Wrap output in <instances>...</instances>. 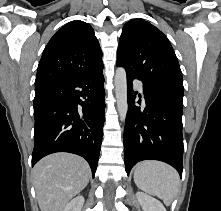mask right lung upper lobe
Returning <instances> with one entry per match:
<instances>
[{
  "instance_id": "obj_1",
  "label": "right lung upper lobe",
  "mask_w": 221,
  "mask_h": 211,
  "mask_svg": "<svg viewBox=\"0 0 221 211\" xmlns=\"http://www.w3.org/2000/svg\"><path fill=\"white\" fill-rule=\"evenodd\" d=\"M103 68L102 51L92 27L74 20L48 42L37 69L35 91Z\"/></svg>"
}]
</instances>
